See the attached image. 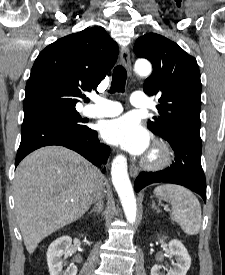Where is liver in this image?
<instances>
[{
  "label": "liver",
  "mask_w": 225,
  "mask_h": 275,
  "mask_svg": "<svg viewBox=\"0 0 225 275\" xmlns=\"http://www.w3.org/2000/svg\"><path fill=\"white\" fill-rule=\"evenodd\" d=\"M98 175L90 162L62 146L40 148L20 162L14 200L28 253L48 235L85 214L94 201Z\"/></svg>",
  "instance_id": "obj_1"
}]
</instances>
